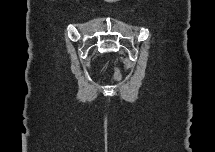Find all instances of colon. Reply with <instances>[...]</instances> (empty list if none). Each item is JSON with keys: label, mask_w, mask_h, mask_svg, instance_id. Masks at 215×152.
<instances>
[{"label": "colon", "mask_w": 215, "mask_h": 152, "mask_svg": "<svg viewBox=\"0 0 215 152\" xmlns=\"http://www.w3.org/2000/svg\"><path fill=\"white\" fill-rule=\"evenodd\" d=\"M114 77H115L116 79H119L120 74H119V70H118V69H115V71H114Z\"/></svg>", "instance_id": "1"}]
</instances>
